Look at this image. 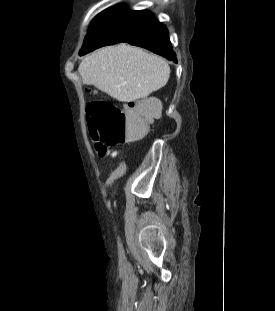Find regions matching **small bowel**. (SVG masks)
<instances>
[{"instance_id":"c3829d8e","label":"small bowel","mask_w":275,"mask_h":311,"mask_svg":"<svg viewBox=\"0 0 275 311\" xmlns=\"http://www.w3.org/2000/svg\"><path fill=\"white\" fill-rule=\"evenodd\" d=\"M122 159L125 161L127 158L124 156ZM111 173L115 179L119 177L122 179L124 176H128L130 172L128 169H113Z\"/></svg>"}]
</instances>
